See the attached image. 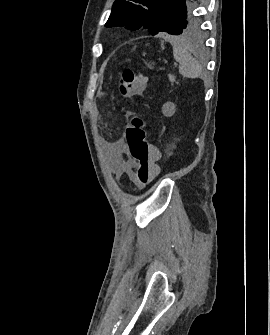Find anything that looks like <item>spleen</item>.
<instances>
[{"label":"spleen","mask_w":270,"mask_h":335,"mask_svg":"<svg viewBox=\"0 0 270 335\" xmlns=\"http://www.w3.org/2000/svg\"><path fill=\"white\" fill-rule=\"evenodd\" d=\"M171 46H173V56L176 62H179V72L182 74L183 78H200L202 74V68L189 54L187 44L184 42L183 38H171Z\"/></svg>","instance_id":"obj_1"}]
</instances>
